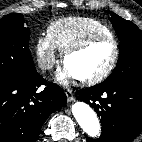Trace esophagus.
I'll use <instances>...</instances> for the list:
<instances>
[{
	"label": "esophagus",
	"mask_w": 142,
	"mask_h": 142,
	"mask_svg": "<svg viewBox=\"0 0 142 142\" xmlns=\"http://www.w3.org/2000/svg\"><path fill=\"white\" fill-rule=\"evenodd\" d=\"M65 94L67 96V101L71 102L74 100V94L70 89L65 90Z\"/></svg>",
	"instance_id": "34e87169"
}]
</instances>
